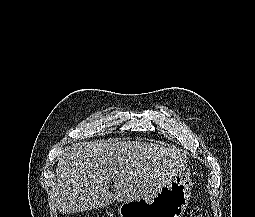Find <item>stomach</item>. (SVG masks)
I'll list each match as a JSON object with an SVG mask.
<instances>
[{"mask_svg":"<svg viewBox=\"0 0 255 217\" xmlns=\"http://www.w3.org/2000/svg\"><path fill=\"white\" fill-rule=\"evenodd\" d=\"M191 195L188 173H182L151 197L123 202L120 217H182Z\"/></svg>","mask_w":255,"mask_h":217,"instance_id":"stomach-1","label":"stomach"}]
</instances>
